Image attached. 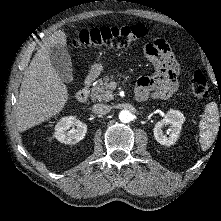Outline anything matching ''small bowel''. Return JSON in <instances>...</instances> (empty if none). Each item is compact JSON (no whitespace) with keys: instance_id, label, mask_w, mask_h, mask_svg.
Returning a JSON list of instances; mask_svg holds the SVG:
<instances>
[{"instance_id":"c3829d8e","label":"small bowel","mask_w":221,"mask_h":221,"mask_svg":"<svg viewBox=\"0 0 221 221\" xmlns=\"http://www.w3.org/2000/svg\"><path fill=\"white\" fill-rule=\"evenodd\" d=\"M147 59L153 64L155 74L138 80L136 94L144 99L148 96L166 99L178 88L179 65L164 39H155L144 49Z\"/></svg>"}]
</instances>
